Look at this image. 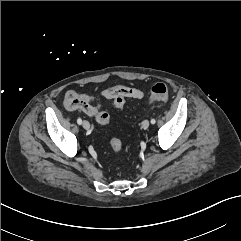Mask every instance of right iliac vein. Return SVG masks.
Wrapping results in <instances>:
<instances>
[{
  "instance_id": "right-iliac-vein-1",
  "label": "right iliac vein",
  "mask_w": 241,
  "mask_h": 241,
  "mask_svg": "<svg viewBox=\"0 0 241 241\" xmlns=\"http://www.w3.org/2000/svg\"><path fill=\"white\" fill-rule=\"evenodd\" d=\"M82 126H83V128H84L85 130H88V129L90 128V123H89L88 121H84V122L82 123Z\"/></svg>"
}]
</instances>
